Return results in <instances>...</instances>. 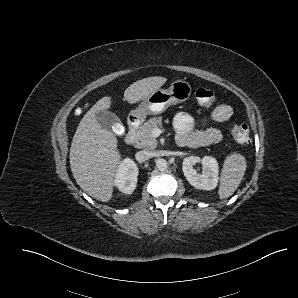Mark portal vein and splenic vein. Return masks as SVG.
I'll return each instance as SVG.
<instances>
[{
    "label": "portal vein and splenic vein",
    "instance_id": "1",
    "mask_svg": "<svg viewBox=\"0 0 298 298\" xmlns=\"http://www.w3.org/2000/svg\"><path fill=\"white\" fill-rule=\"evenodd\" d=\"M161 134H162V130H161L159 127H155V128H153V130H152V132H151V135H152V137H154V138L159 137Z\"/></svg>",
    "mask_w": 298,
    "mask_h": 298
}]
</instances>
